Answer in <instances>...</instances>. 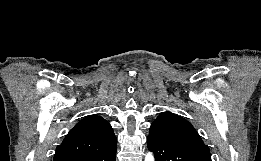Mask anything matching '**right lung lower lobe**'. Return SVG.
Returning a JSON list of instances; mask_svg holds the SVG:
<instances>
[{"label":"right lung lower lobe","mask_w":261,"mask_h":161,"mask_svg":"<svg viewBox=\"0 0 261 161\" xmlns=\"http://www.w3.org/2000/svg\"><path fill=\"white\" fill-rule=\"evenodd\" d=\"M117 145L114 143L102 151L66 158L62 161H116Z\"/></svg>","instance_id":"right-lung-lower-lobe-1"}]
</instances>
